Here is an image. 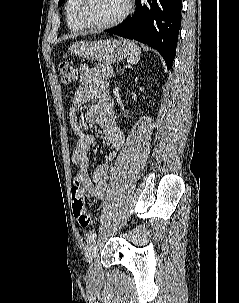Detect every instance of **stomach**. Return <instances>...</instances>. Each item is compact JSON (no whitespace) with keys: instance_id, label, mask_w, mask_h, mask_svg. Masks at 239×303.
<instances>
[{"instance_id":"stomach-1","label":"stomach","mask_w":239,"mask_h":303,"mask_svg":"<svg viewBox=\"0 0 239 303\" xmlns=\"http://www.w3.org/2000/svg\"><path fill=\"white\" fill-rule=\"evenodd\" d=\"M70 50L78 57L97 60L105 64L115 63L128 55L125 44L115 39L79 41L73 44Z\"/></svg>"}]
</instances>
